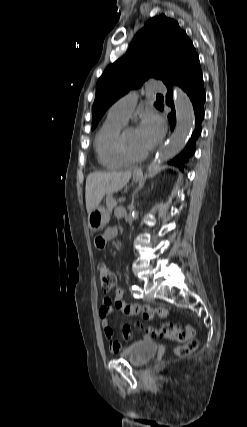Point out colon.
I'll use <instances>...</instances> for the list:
<instances>
[{
	"label": "colon",
	"mask_w": 247,
	"mask_h": 427,
	"mask_svg": "<svg viewBox=\"0 0 247 427\" xmlns=\"http://www.w3.org/2000/svg\"><path fill=\"white\" fill-rule=\"evenodd\" d=\"M98 271L102 291L108 292L112 290L116 284V276L113 271L103 263L99 264ZM148 333L150 335H157L165 339L184 343L175 350V353L181 356L190 354L198 345L197 341L194 339L195 330L191 325L180 328L172 323H165L158 329L149 328Z\"/></svg>",
	"instance_id": "obj_1"
}]
</instances>
